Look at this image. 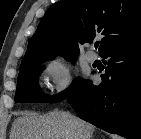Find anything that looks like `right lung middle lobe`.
<instances>
[{"instance_id":"dd1d6c3e","label":"right lung middle lobe","mask_w":141,"mask_h":139,"mask_svg":"<svg viewBox=\"0 0 141 139\" xmlns=\"http://www.w3.org/2000/svg\"><path fill=\"white\" fill-rule=\"evenodd\" d=\"M71 59V60H75ZM43 66L41 64L28 66L25 68H21L18 80H17V89L15 94V102H45V103H56L60 102L67 97H69L83 82V80H77L74 85L70 88L66 89L64 92L56 95V96H47L41 92L38 85V77L43 70Z\"/></svg>"}]
</instances>
